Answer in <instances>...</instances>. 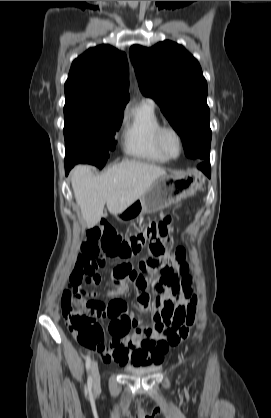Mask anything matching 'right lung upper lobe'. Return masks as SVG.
Instances as JSON below:
<instances>
[{"instance_id": "1", "label": "right lung upper lobe", "mask_w": 271, "mask_h": 418, "mask_svg": "<svg viewBox=\"0 0 271 418\" xmlns=\"http://www.w3.org/2000/svg\"><path fill=\"white\" fill-rule=\"evenodd\" d=\"M128 85L124 52L110 45L90 48L72 63L65 83V105L123 111L129 100Z\"/></svg>"}]
</instances>
